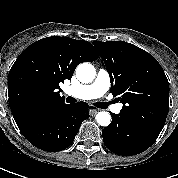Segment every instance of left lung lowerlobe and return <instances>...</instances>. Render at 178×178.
Wrapping results in <instances>:
<instances>
[{
	"instance_id": "0a47b994",
	"label": "left lung lower lobe",
	"mask_w": 178,
	"mask_h": 178,
	"mask_svg": "<svg viewBox=\"0 0 178 178\" xmlns=\"http://www.w3.org/2000/svg\"><path fill=\"white\" fill-rule=\"evenodd\" d=\"M112 122L102 130L106 147L118 155H135L148 149L161 131L122 114L111 113Z\"/></svg>"
}]
</instances>
